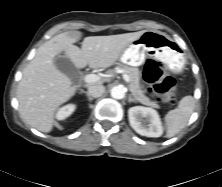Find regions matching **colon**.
I'll return each instance as SVG.
<instances>
[{
    "instance_id": "1",
    "label": "colon",
    "mask_w": 222,
    "mask_h": 187,
    "mask_svg": "<svg viewBox=\"0 0 222 187\" xmlns=\"http://www.w3.org/2000/svg\"><path fill=\"white\" fill-rule=\"evenodd\" d=\"M144 80L151 84L150 91L153 95L160 97L164 102H171L177 91V84L171 77L163 75L160 65L149 60L143 70Z\"/></svg>"
}]
</instances>
